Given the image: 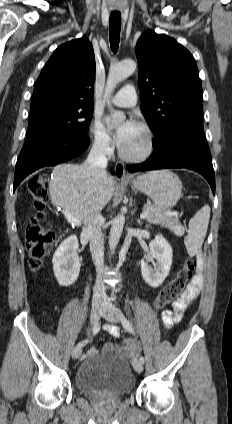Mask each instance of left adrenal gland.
<instances>
[{
    "label": "left adrenal gland",
    "mask_w": 232,
    "mask_h": 424,
    "mask_svg": "<svg viewBox=\"0 0 232 424\" xmlns=\"http://www.w3.org/2000/svg\"><path fill=\"white\" fill-rule=\"evenodd\" d=\"M137 223H138L139 225H141V224H142V221H141L140 219H137Z\"/></svg>",
    "instance_id": "left-adrenal-gland-1"
}]
</instances>
